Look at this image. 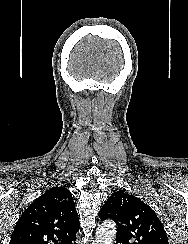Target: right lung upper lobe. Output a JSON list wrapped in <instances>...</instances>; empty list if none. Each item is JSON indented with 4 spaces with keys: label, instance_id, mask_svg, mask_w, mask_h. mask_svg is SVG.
Listing matches in <instances>:
<instances>
[{
    "label": "right lung upper lobe",
    "instance_id": "1",
    "mask_svg": "<svg viewBox=\"0 0 188 244\" xmlns=\"http://www.w3.org/2000/svg\"><path fill=\"white\" fill-rule=\"evenodd\" d=\"M79 230L78 214L71 193L52 187L21 215L10 244H72Z\"/></svg>",
    "mask_w": 188,
    "mask_h": 244
}]
</instances>
